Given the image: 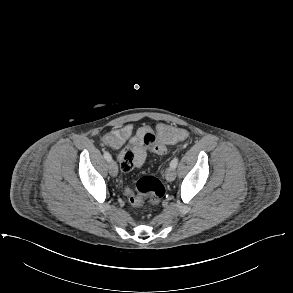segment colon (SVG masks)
Returning <instances> with one entry per match:
<instances>
[{"instance_id":"1","label":"colon","mask_w":293,"mask_h":293,"mask_svg":"<svg viewBox=\"0 0 293 293\" xmlns=\"http://www.w3.org/2000/svg\"><path fill=\"white\" fill-rule=\"evenodd\" d=\"M144 142L156 154L164 155L168 151L166 145L157 142L155 136L150 132L145 134ZM136 189L137 193H132L129 188L125 189L132 206H140L145 200L151 205H158L166 193L163 183L152 175L142 176L137 182Z\"/></svg>"}]
</instances>
